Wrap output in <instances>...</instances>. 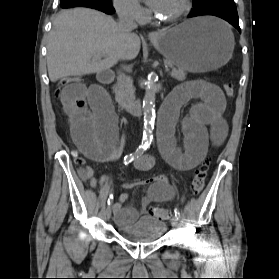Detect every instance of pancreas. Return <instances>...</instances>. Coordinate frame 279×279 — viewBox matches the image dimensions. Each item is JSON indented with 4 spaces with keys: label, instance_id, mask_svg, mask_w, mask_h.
Wrapping results in <instances>:
<instances>
[{
    "label": "pancreas",
    "instance_id": "pancreas-1",
    "mask_svg": "<svg viewBox=\"0 0 279 279\" xmlns=\"http://www.w3.org/2000/svg\"><path fill=\"white\" fill-rule=\"evenodd\" d=\"M165 64L172 67V71L170 73V76L178 81H184L186 79V72L181 69H176L172 66V64L168 61H164ZM116 100L120 103H128L132 100H134V86H133V80L130 76H127L124 73H121L117 77V83L114 87Z\"/></svg>",
    "mask_w": 279,
    "mask_h": 279
}]
</instances>
